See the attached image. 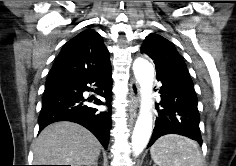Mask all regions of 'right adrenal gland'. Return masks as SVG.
I'll use <instances>...</instances> for the list:
<instances>
[{"label": "right adrenal gland", "mask_w": 236, "mask_h": 166, "mask_svg": "<svg viewBox=\"0 0 236 166\" xmlns=\"http://www.w3.org/2000/svg\"><path fill=\"white\" fill-rule=\"evenodd\" d=\"M90 166H98V159Z\"/></svg>", "instance_id": "2a0ac1e0"}]
</instances>
